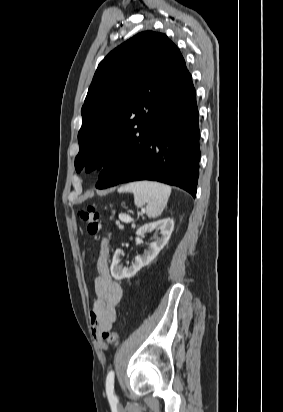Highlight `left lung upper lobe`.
I'll return each instance as SVG.
<instances>
[{"instance_id": "obj_1", "label": "left lung upper lobe", "mask_w": 283, "mask_h": 412, "mask_svg": "<svg viewBox=\"0 0 283 412\" xmlns=\"http://www.w3.org/2000/svg\"><path fill=\"white\" fill-rule=\"evenodd\" d=\"M188 75L180 51L162 33H139L111 51L81 109L76 171L105 166L127 142L142 137Z\"/></svg>"}]
</instances>
